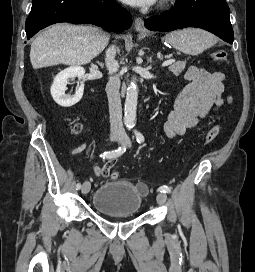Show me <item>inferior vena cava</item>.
Masks as SVG:
<instances>
[{
  "label": "inferior vena cava",
  "instance_id": "602c4592",
  "mask_svg": "<svg viewBox=\"0 0 255 272\" xmlns=\"http://www.w3.org/2000/svg\"><path fill=\"white\" fill-rule=\"evenodd\" d=\"M116 49L114 46L109 47L106 51V67L109 71L110 78L106 85V93L109 103L110 127L112 134H124L125 130L122 122V108L120 99V79L113 74L118 71L119 65L115 60Z\"/></svg>",
  "mask_w": 255,
  "mask_h": 272
}]
</instances>
